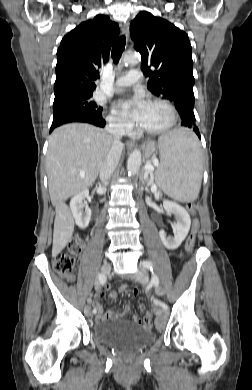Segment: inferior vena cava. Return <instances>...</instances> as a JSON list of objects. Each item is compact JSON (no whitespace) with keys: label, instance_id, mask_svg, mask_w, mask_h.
<instances>
[{"label":"inferior vena cava","instance_id":"inferior-vena-cava-1","mask_svg":"<svg viewBox=\"0 0 252 390\" xmlns=\"http://www.w3.org/2000/svg\"><path fill=\"white\" fill-rule=\"evenodd\" d=\"M106 132L112 136L113 143L108 155L104 159L100 168V180L102 184H105L110 179L113 171L118 165L123 144L121 142L122 136L125 134L124 128L120 124L109 123L105 127Z\"/></svg>","mask_w":252,"mask_h":390}]
</instances>
